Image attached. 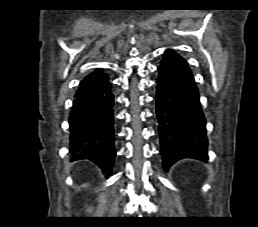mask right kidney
I'll list each match as a JSON object with an SVG mask.
<instances>
[{
	"label": "right kidney",
	"mask_w": 258,
	"mask_h": 227,
	"mask_svg": "<svg viewBox=\"0 0 258 227\" xmlns=\"http://www.w3.org/2000/svg\"><path fill=\"white\" fill-rule=\"evenodd\" d=\"M92 208H88L87 212L91 213L92 212Z\"/></svg>",
	"instance_id": "ca27d5eb"
}]
</instances>
